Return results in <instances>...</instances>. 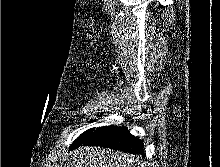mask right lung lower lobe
Wrapping results in <instances>:
<instances>
[{
  "label": "right lung lower lobe",
  "mask_w": 220,
  "mask_h": 167,
  "mask_svg": "<svg viewBox=\"0 0 220 167\" xmlns=\"http://www.w3.org/2000/svg\"><path fill=\"white\" fill-rule=\"evenodd\" d=\"M144 156L143 141L131 135L124 127H99L82 143Z\"/></svg>",
  "instance_id": "right-lung-lower-lobe-1"
}]
</instances>
